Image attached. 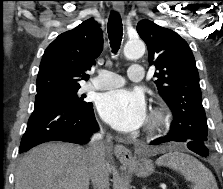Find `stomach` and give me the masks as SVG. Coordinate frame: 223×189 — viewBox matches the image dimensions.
I'll list each match as a JSON object with an SVG mask.
<instances>
[{
    "instance_id": "0dacf381",
    "label": "stomach",
    "mask_w": 223,
    "mask_h": 189,
    "mask_svg": "<svg viewBox=\"0 0 223 189\" xmlns=\"http://www.w3.org/2000/svg\"><path fill=\"white\" fill-rule=\"evenodd\" d=\"M128 165L139 177H147L153 172V164L150 160H138L135 163Z\"/></svg>"
}]
</instances>
